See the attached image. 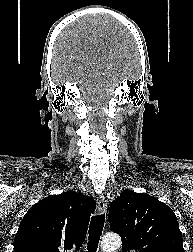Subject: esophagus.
<instances>
[{
	"instance_id": "esophagus-1",
	"label": "esophagus",
	"mask_w": 193,
	"mask_h": 252,
	"mask_svg": "<svg viewBox=\"0 0 193 252\" xmlns=\"http://www.w3.org/2000/svg\"><path fill=\"white\" fill-rule=\"evenodd\" d=\"M97 207L100 214H105L107 210V201L103 194H100L97 199Z\"/></svg>"
}]
</instances>
